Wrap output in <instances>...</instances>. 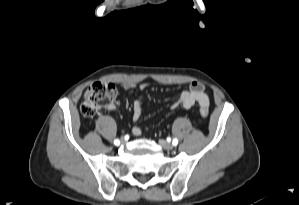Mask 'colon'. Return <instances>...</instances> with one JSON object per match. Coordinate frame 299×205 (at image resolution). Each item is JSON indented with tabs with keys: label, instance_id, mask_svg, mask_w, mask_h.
Returning a JSON list of instances; mask_svg holds the SVG:
<instances>
[{
	"label": "colon",
	"instance_id": "colon-1",
	"mask_svg": "<svg viewBox=\"0 0 299 205\" xmlns=\"http://www.w3.org/2000/svg\"><path fill=\"white\" fill-rule=\"evenodd\" d=\"M120 87L114 83L95 82L86 90L81 105L82 114L93 117L101 108L110 107L115 102ZM200 114L206 118L209 115L207 107L200 106Z\"/></svg>",
	"mask_w": 299,
	"mask_h": 205
}]
</instances>
